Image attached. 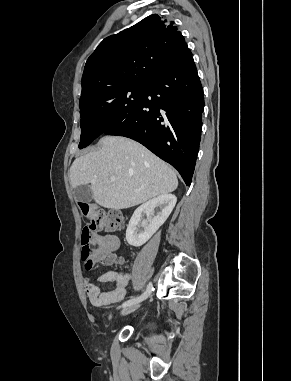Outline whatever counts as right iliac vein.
<instances>
[{
    "mask_svg": "<svg viewBox=\"0 0 291 381\" xmlns=\"http://www.w3.org/2000/svg\"><path fill=\"white\" fill-rule=\"evenodd\" d=\"M140 306L139 303H134V304H131L129 306H126L122 311H121V315L122 316H125V315H128L132 312H134L136 309H138Z\"/></svg>",
    "mask_w": 291,
    "mask_h": 381,
    "instance_id": "obj_1",
    "label": "right iliac vein"
}]
</instances>
